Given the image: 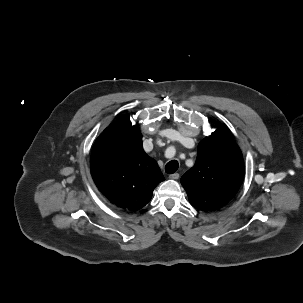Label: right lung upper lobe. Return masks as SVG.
Instances as JSON below:
<instances>
[{"label":"right lung upper lobe","mask_w":303,"mask_h":303,"mask_svg":"<svg viewBox=\"0 0 303 303\" xmlns=\"http://www.w3.org/2000/svg\"><path fill=\"white\" fill-rule=\"evenodd\" d=\"M91 174L111 203L139 210L151 199L164 177L144 152L142 134L129 119L116 121L97 138L91 152Z\"/></svg>","instance_id":"1"}]
</instances>
